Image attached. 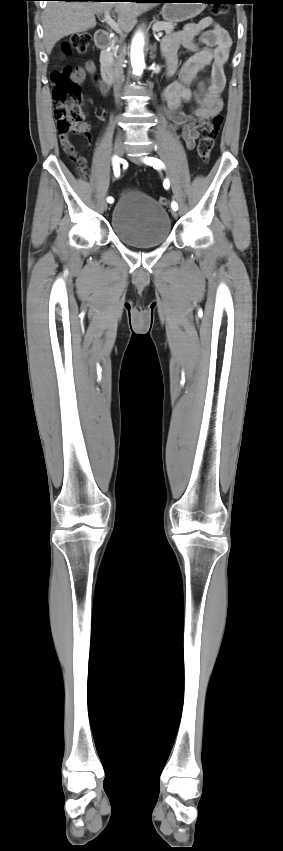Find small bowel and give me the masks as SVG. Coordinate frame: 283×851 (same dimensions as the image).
Listing matches in <instances>:
<instances>
[{"mask_svg": "<svg viewBox=\"0 0 283 851\" xmlns=\"http://www.w3.org/2000/svg\"><path fill=\"white\" fill-rule=\"evenodd\" d=\"M180 47L195 53L181 67L179 79L164 89L163 110L170 128L180 131L187 149L192 150L205 120L222 109L220 94L225 86L224 66L229 58L231 39L228 32L211 17L189 23L182 30L165 36L162 52L168 76H172L177 70V52ZM209 66V77L199 81L196 88H192L200 73ZM87 74L96 75V64L93 61H87L84 66L77 67L72 73V79L80 84ZM94 83L97 84L101 97L107 98L110 86L106 81L99 77ZM191 101H194L195 106L186 109V105ZM60 142L74 162L80 160L86 167V159L75 151L68 137H60Z\"/></svg>", "mask_w": 283, "mask_h": 851, "instance_id": "1", "label": "small bowel"}]
</instances>
